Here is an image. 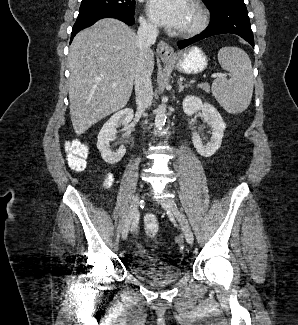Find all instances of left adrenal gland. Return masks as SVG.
Listing matches in <instances>:
<instances>
[{"instance_id":"obj_1","label":"left adrenal gland","mask_w":298,"mask_h":325,"mask_svg":"<svg viewBox=\"0 0 298 325\" xmlns=\"http://www.w3.org/2000/svg\"><path fill=\"white\" fill-rule=\"evenodd\" d=\"M184 88H190V84H183L182 80H178V92H182Z\"/></svg>"}]
</instances>
